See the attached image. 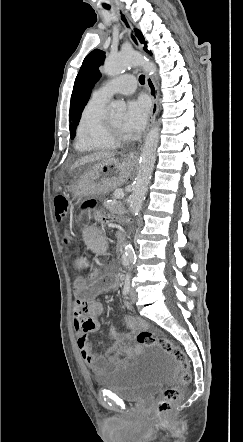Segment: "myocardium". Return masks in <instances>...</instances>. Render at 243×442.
I'll return each instance as SVG.
<instances>
[{
    "label": "myocardium",
    "mask_w": 243,
    "mask_h": 442,
    "mask_svg": "<svg viewBox=\"0 0 243 442\" xmlns=\"http://www.w3.org/2000/svg\"><path fill=\"white\" fill-rule=\"evenodd\" d=\"M103 133L105 138L113 143V144H119L124 142L127 139V136L125 133L120 132L114 126L111 124L109 119L105 118L103 122Z\"/></svg>",
    "instance_id": "obj_1"
}]
</instances>
